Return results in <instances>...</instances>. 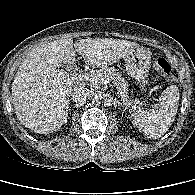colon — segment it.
I'll list each match as a JSON object with an SVG mask.
<instances>
[{"label":"colon","mask_w":195,"mask_h":195,"mask_svg":"<svg viewBox=\"0 0 195 195\" xmlns=\"http://www.w3.org/2000/svg\"><path fill=\"white\" fill-rule=\"evenodd\" d=\"M153 67L156 71L163 75L167 82L172 83L175 81L173 64L169 59L165 57H158L155 59Z\"/></svg>","instance_id":"1"}]
</instances>
